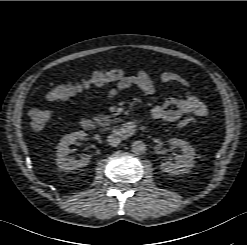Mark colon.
Returning <instances> with one entry per match:
<instances>
[{
    "label": "colon",
    "instance_id": "colon-1",
    "mask_svg": "<svg viewBox=\"0 0 247 245\" xmlns=\"http://www.w3.org/2000/svg\"><path fill=\"white\" fill-rule=\"evenodd\" d=\"M124 76V72L119 68L95 71L88 77L79 81L58 85L51 88L47 93L50 101H64L75 95L93 87H101L109 83L117 82ZM31 124L35 129L43 128L50 120L51 114L48 110L34 108L29 112ZM197 122L189 117L182 118L178 126L187 127L196 125Z\"/></svg>",
    "mask_w": 247,
    "mask_h": 245
}]
</instances>
